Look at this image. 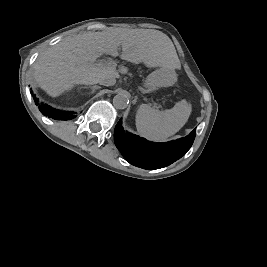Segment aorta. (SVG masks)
<instances>
[{
	"label": "aorta",
	"instance_id": "aorta-1",
	"mask_svg": "<svg viewBox=\"0 0 267 267\" xmlns=\"http://www.w3.org/2000/svg\"><path fill=\"white\" fill-rule=\"evenodd\" d=\"M129 103L128 96L121 92L114 96L113 105L116 109H125L127 108Z\"/></svg>",
	"mask_w": 267,
	"mask_h": 267
}]
</instances>
